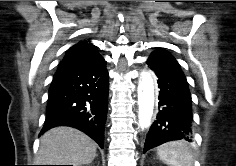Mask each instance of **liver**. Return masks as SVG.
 I'll list each match as a JSON object with an SVG mask.
<instances>
[{"mask_svg":"<svg viewBox=\"0 0 236 166\" xmlns=\"http://www.w3.org/2000/svg\"><path fill=\"white\" fill-rule=\"evenodd\" d=\"M96 143L71 127H56L40 138L39 165H87L96 156Z\"/></svg>","mask_w":236,"mask_h":166,"instance_id":"1","label":"liver"}]
</instances>
